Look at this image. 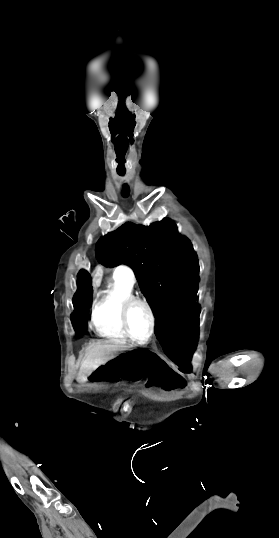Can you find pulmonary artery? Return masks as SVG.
<instances>
[{
  "label": "pulmonary artery",
  "mask_w": 279,
  "mask_h": 538,
  "mask_svg": "<svg viewBox=\"0 0 279 538\" xmlns=\"http://www.w3.org/2000/svg\"><path fill=\"white\" fill-rule=\"evenodd\" d=\"M126 272H128V279L131 281L134 280V274L129 272L128 267L125 265L116 266L113 270V276H118Z\"/></svg>",
  "instance_id": "1"
}]
</instances>
